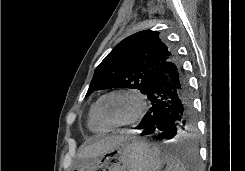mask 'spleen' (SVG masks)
I'll return each mask as SVG.
<instances>
[{
    "mask_svg": "<svg viewBox=\"0 0 245 171\" xmlns=\"http://www.w3.org/2000/svg\"><path fill=\"white\" fill-rule=\"evenodd\" d=\"M163 158L167 164L165 171H187L183 162L176 156L165 153L163 154Z\"/></svg>",
    "mask_w": 245,
    "mask_h": 171,
    "instance_id": "1",
    "label": "spleen"
}]
</instances>
